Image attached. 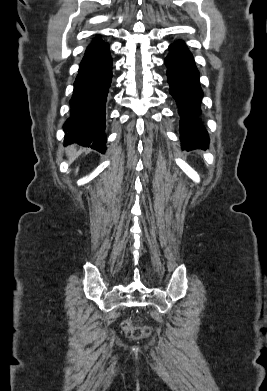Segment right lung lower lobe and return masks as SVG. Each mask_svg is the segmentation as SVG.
I'll return each mask as SVG.
<instances>
[{"label":"right lung lower lobe","instance_id":"obj_1","mask_svg":"<svg viewBox=\"0 0 267 391\" xmlns=\"http://www.w3.org/2000/svg\"><path fill=\"white\" fill-rule=\"evenodd\" d=\"M112 76L108 43L85 53L70 100L71 114L64 124L67 143L76 142L104 153L105 107Z\"/></svg>","mask_w":267,"mask_h":391}]
</instances>
